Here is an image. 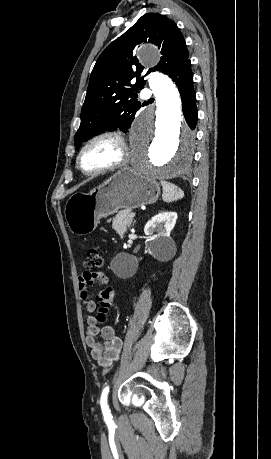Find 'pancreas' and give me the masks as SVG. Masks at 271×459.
<instances>
[{"instance_id": "cf45deb5", "label": "pancreas", "mask_w": 271, "mask_h": 459, "mask_svg": "<svg viewBox=\"0 0 271 459\" xmlns=\"http://www.w3.org/2000/svg\"><path fill=\"white\" fill-rule=\"evenodd\" d=\"M130 212L131 210H120L113 220V229H115L121 237H124L125 231H127L133 222L134 217L128 216Z\"/></svg>"}]
</instances>
